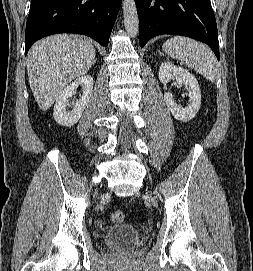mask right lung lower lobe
<instances>
[{"instance_id": "1", "label": "right lung lower lobe", "mask_w": 253, "mask_h": 271, "mask_svg": "<svg viewBox=\"0 0 253 271\" xmlns=\"http://www.w3.org/2000/svg\"><path fill=\"white\" fill-rule=\"evenodd\" d=\"M121 2L31 0L25 32V55L34 42L56 33L87 35L106 47Z\"/></svg>"}]
</instances>
